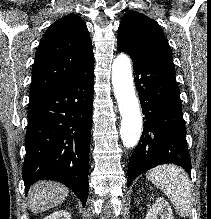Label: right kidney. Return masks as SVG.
Listing matches in <instances>:
<instances>
[{
	"instance_id": "ca27d5eb",
	"label": "right kidney",
	"mask_w": 211,
	"mask_h": 219,
	"mask_svg": "<svg viewBox=\"0 0 211 219\" xmlns=\"http://www.w3.org/2000/svg\"><path fill=\"white\" fill-rule=\"evenodd\" d=\"M44 219H71V214L67 212L66 210H59V211H56L50 214Z\"/></svg>"
}]
</instances>
